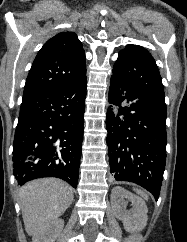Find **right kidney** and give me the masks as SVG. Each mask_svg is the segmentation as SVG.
<instances>
[{"instance_id":"obj_1","label":"right kidney","mask_w":187,"mask_h":242,"mask_svg":"<svg viewBox=\"0 0 187 242\" xmlns=\"http://www.w3.org/2000/svg\"><path fill=\"white\" fill-rule=\"evenodd\" d=\"M64 227V221L57 219L42 228L34 237L33 242H55Z\"/></svg>"}]
</instances>
